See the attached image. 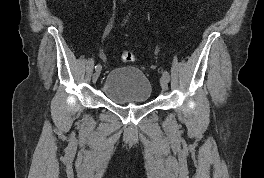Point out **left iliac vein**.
<instances>
[{"mask_svg": "<svg viewBox=\"0 0 264 178\" xmlns=\"http://www.w3.org/2000/svg\"><path fill=\"white\" fill-rule=\"evenodd\" d=\"M160 85L163 91H166L168 89V79L165 76H162L160 78Z\"/></svg>", "mask_w": 264, "mask_h": 178, "instance_id": "4c4485c4", "label": "left iliac vein"}]
</instances>
